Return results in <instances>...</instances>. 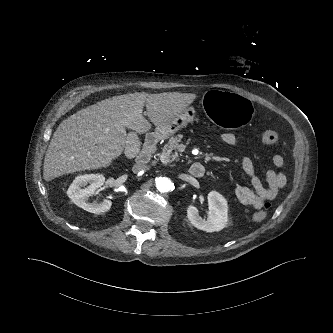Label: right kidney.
I'll list each match as a JSON object with an SVG mask.
<instances>
[{
	"label": "right kidney",
	"mask_w": 333,
	"mask_h": 333,
	"mask_svg": "<svg viewBox=\"0 0 333 333\" xmlns=\"http://www.w3.org/2000/svg\"><path fill=\"white\" fill-rule=\"evenodd\" d=\"M105 182V177L101 174H85L75 178L67 191L68 197L82 209L95 214L108 211L112 205L110 200L105 199L102 203H88V198L94 191L101 187ZM90 184L86 188L87 184Z\"/></svg>",
	"instance_id": "obj_1"
}]
</instances>
